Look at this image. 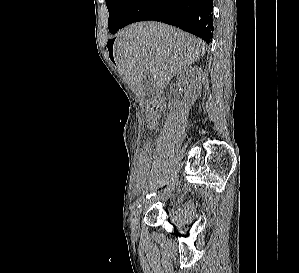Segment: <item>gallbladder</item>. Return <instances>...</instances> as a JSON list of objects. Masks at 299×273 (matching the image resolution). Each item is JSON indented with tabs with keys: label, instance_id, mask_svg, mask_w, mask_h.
<instances>
[{
	"label": "gallbladder",
	"instance_id": "gallbladder-1",
	"mask_svg": "<svg viewBox=\"0 0 299 273\" xmlns=\"http://www.w3.org/2000/svg\"><path fill=\"white\" fill-rule=\"evenodd\" d=\"M143 89L146 92L148 97H154L155 94L153 92V80L151 78L150 73H146L144 75L143 81H142Z\"/></svg>",
	"mask_w": 299,
	"mask_h": 273
}]
</instances>
